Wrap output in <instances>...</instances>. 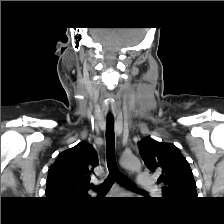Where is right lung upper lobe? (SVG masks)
I'll list each match as a JSON object with an SVG mask.
<instances>
[{"label": "right lung upper lobe", "mask_w": 224, "mask_h": 224, "mask_svg": "<svg viewBox=\"0 0 224 224\" xmlns=\"http://www.w3.org/2000/svg\"><path fill=\"white\" fill-rule=\"evenodd\" d=\"M97 165L96 151L87 142L61 152L48 170L46 197L59 201L87 197L90 177Z\"/></svg>", "instance_id": "right-lung-upper-lobe-1"}]
</instances>
